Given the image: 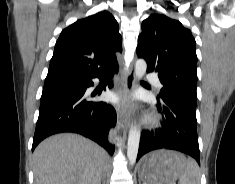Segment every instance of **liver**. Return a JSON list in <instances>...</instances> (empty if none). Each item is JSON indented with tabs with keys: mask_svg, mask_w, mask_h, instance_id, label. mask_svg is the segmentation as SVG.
<instances>
[{
	"mask_svg": "<svg viewBox=\"0 0 235 184\" xmlns=\"http://www.w3.org/2000/svg\"><path fill=\"white\" fill-rule=\"evenodd\" d=\"M105 150L78 134H56L33 154L34 184H101Z\"/></svg>",
	"mask_w": 235,
	"mask_h": 184,
	"instance_id": "6515ba94",
	"label": "liver"
}]
</instances>
